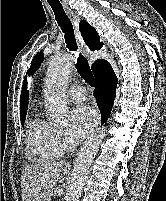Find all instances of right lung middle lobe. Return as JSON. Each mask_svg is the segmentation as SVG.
Instances as JSON below:
<instances>
[{
	"mask_svg": "<svg viewBox=\"0 0 166 201\" xmlns=\"http://www.w3.org/2000/svg\"><path fill=\"white\" fill-rule=\"evenodd\" d=\"M25 118H26V117L21 118V123H22V125L24 124Z\"/></svg>",
	"mask_w": 166,
	"mask_h": 201,
	"instance_id": "1",
	"label": "right lung middle lobe"
}]
</instances>
